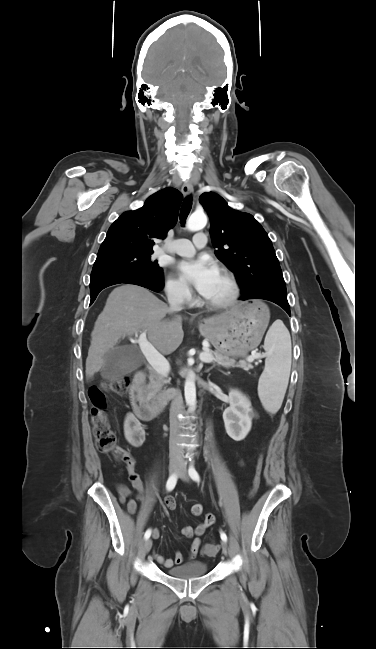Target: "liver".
<instances>
[{
  "label": "liver",
  "instance_id": "liver-1",
  "mask_svg": "<svg viewBox=\"0 0 376 649\" xmlns=\"http://www.w3.org/2000/svg\"><path fill=\"white\" fill-rule=\"evenodd\" d=\"M173 310L149 290L137 285L116 287L109 295L91 333L86 359V378L105 364L104 356L121 337L146 332L156 350L169 355L182 343V318L164 320ZM229 313V312H227Z\"/></svg>",
  "mask_w": 376,
  "mask_h": 649
}]
</instances>
